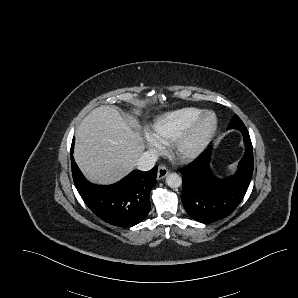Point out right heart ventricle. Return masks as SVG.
Instances as JSON below:
<instances>
[{
  "label": "right heart ventricle",
  "instance_id": "right-heart-ventricle-1",
  "mask_svg": "<svg viewBox=\"0 0 298 298\" xmlns=\"http://www.w3.org/2000/svg\"><path fill=\"white\" fill-rule=\"evenodd\" d=\"M203 112L197 107H184L161 112L150 119L149 126L160 131L166 141Z\"/></svg>",
  "mask_w": 298,
  "mask_h": 298
}]
</instances>
